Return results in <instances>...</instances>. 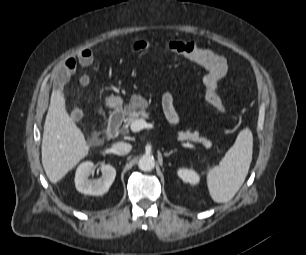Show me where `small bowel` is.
Segmentation results:
<instances>
[{
    "instance_id": "small-bowel-1",
    "label": "small bowel",
    "mask_w": 306,
    "mask_h": 255,
    "mask_svg": "<svg viewBox=\"0 0 306 255\" xmlns=\"http://www.w3.org/2000/svg\"><path fill=\"white\" fill-rule=\"evenodd\" d=\"M79 62L83 65H88L93 60V55L90 50H83L79 54ZM77 62L74 58L67 59L62 68L55 74L54 83L55 87L58 90L63 89V87L68 82V79L71 74H73L76 70ZM162 108L165 114V117L171 124L179 123V115L175 108L174 96L171 93L164 94L162 98Z\"/></svg>"
}]
</instances>
